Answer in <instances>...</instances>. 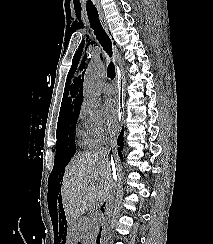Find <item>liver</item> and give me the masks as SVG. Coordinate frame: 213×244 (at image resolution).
Returning a JSON list of instances; mask_svg holds the SVG:
<instances>
[{"mask_svg": "<svg viewBox=\"0 0 213 244\" xmlns=\"http://www.w3.org/2000/svg\"><path fill=\"white\" fill-rule=\"evenodd\" d=\"M112 162L107 150L82 153L65 169L61 198L67 223L75 227L80 215L112 192Z\"/></svg>", "mask_w": 213, "mask_h": 244, "instance_id": "6515ba94", "label": "liver"}]
</instances>
